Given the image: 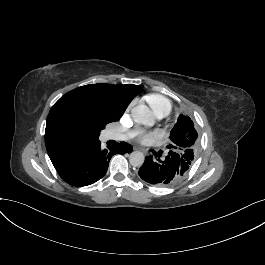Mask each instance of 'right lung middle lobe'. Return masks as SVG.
Here are the masks:
<instances>
[{
  "label": "right lung middle lobe",
  "instance_id": "right-lung-middle-lobe-1",
  "mask_svg": "<svg viewBox=\"0 0 265 265\" xmlns=\"http://www.w3.org/2000/svg\"><path fill=\"white\" fill-rule=\"evenodd\" d=\"M126 108L109 96L69 95L59 99L57 116L60 125L69 130L95 129L118 121Z\"/></svg>",
  "mask_w": 265,
  "mask_h": 265
}]
</instances>
